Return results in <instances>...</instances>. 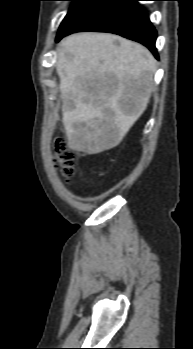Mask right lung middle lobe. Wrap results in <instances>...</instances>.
Wrapping results in <instances>:
<instances>
[{
    "instance_id": "right-lung-middle-lobe-1",
    "label": "right lung middle lobe",
    "mask_w": 193,
    "mask_h": 349,
    "mask_svg": "<svg viewBox=\"0 0 193 349\" xmlns=\"http://www.w3.org/2000/svg\"><path fill=\"white\" fill-rule=\"evenodd\" d=\"M73 1L66 17L62 21L58 35L64 33L77 23L83 16L90 12L94 7L100 4L103 0H69ZM57 35V36H58Z\"/></svg>"
}]
</instances>
